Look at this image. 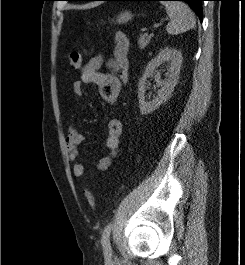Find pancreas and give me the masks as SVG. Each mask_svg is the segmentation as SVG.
Returning <instances> with one entry per match:
<instances>
[{
	"label": "pancreas",
	"mask_w": 245,
	"mask_h": 265,
	"mask_svg": "<svg viewBox=\"0 0 245 265\" xmlns=\"http://www.w3.org/2000/svg\"><path fill=\"white\" fill-rule=\"evenodd\" d=\"M151 40V35L146 36V35H140L138 38V46L140 49H144L150 42Z\"/></svg>",
	"instance_id": "1"
}]
</instances>
